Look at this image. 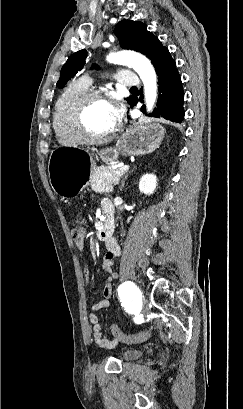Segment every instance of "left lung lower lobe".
<instances>
[{"mask_svg": "<svg viewBox=\"0 0 243 409\" xmlns=\"http://www.w3.org/2000/svg\"><path fill=\"white\" fill-rule=\"evenodd\" d=\"M157 75L159 85L158 103L149 116L181 123L184 119V92L175 61L172 60L157 70ZM140 101L142 102L141 98ZM137 102L138 99L135 98L130 106H135ZM141 111L145 113V105L141 107Z\"/></svg>", "mask_w": 243, "mask_h": 409, "instance_id": "obj_1", "label": "left lung lower lobe"}]
</instances>
